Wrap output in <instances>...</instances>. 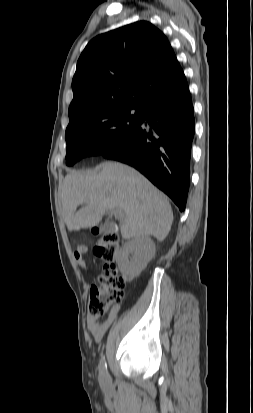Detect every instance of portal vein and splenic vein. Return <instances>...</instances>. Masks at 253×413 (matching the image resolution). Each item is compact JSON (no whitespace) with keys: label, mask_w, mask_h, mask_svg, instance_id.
<instances>
[{"label":"portal vein and splenic vein","mask_w":253,"mask_h":413,"mask_svg":"<svg viewBox=\"0 0 253 413\" xmlns=\"http://www.w3.org/2000/svg\"><path fill=\"white\" fill-rule=\"evenodd\" d=\"M114 214H115L116 216H121V215H122V212H121L120 210H116V211H114Z\"/></svg>","instance_id":"1"}]
</instances>
